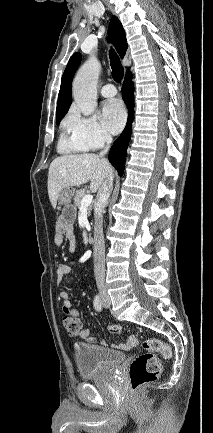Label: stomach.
I'll use <instances>...</instances> for the list:
<instances>
[{
  "mask_svg": "<svg viewBox=\"0 0 213 433\" xmlns=\"http://www.w3.org/2000/svg\"><path fill=\"white\" fill-rule=\"evenodd\" d=\"M73 194H74V191L72 188H70V187L64 188L58 196L59 204L64 205V206H69L71 203V199H72Z\"/></svg>",
  "mask_w": 213,
  "mask_h": 433,
  "instance_id": "stomach-1",
  "label": "stomach"
}]
</instances>
